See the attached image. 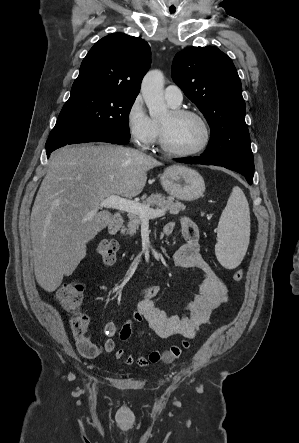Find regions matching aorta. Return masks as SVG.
Masks as SVG:
<instances>
[{
	"mask_svg": "<svg viewBox=\"0 0 299 443\" xmlns=\"http://www.w3.org/2000/svg\"><path fill=\"white\" fill-rule=\"evenodd\" d=\"M163 88L164 75L160 70H151L144 76L141 93L151 118L160 119L168 115Z\"/></svg>",
	"mask_w": 299,
	"mask_h": 443,
	"instance_id": "obj_1",
	"label": "aorta"
}]
</instances>
